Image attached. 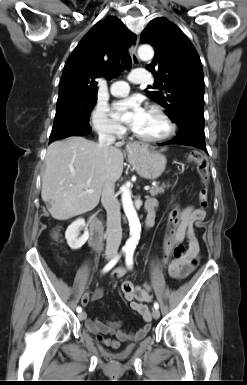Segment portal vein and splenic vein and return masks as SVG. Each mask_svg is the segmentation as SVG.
<instances>
[{
    "label": "portal vein and splenic vein",
    "mask_w": 247,
    "mask_h": 385,
    "mask_svg": "<svg viewBox=\"0 0 247 385\" xmlns=\"http://www.w3.org/2000/svg\"><path fill=\"white\" fill-rule=\"evenodd\" d=\"M149 189H150L149 186H145V187H144V190H145V191H148ZM92 192H93L92 189H86V193H92Z\"/></svg>",
    "instance_id": "obj_1"
}]
</instances>
